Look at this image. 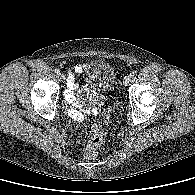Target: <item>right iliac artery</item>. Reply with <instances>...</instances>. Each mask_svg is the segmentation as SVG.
<instances>
[{
    "instance_id": "82829eb1",
    "label": "right iliac artery",
    "mask_w": 195,
    "mask_h": 195,
    "mask_svg": "<svg viewBox=\"0 0 195 195\" xmlns=\"http://www.w3.org/2000/svg\"><path fill=\"white\" fill-rule=\"evenodd\" d=\"M54 71H55V73H57V74L60 73V70H59V69H55Z\"/></svg>"
}]
</instances>
